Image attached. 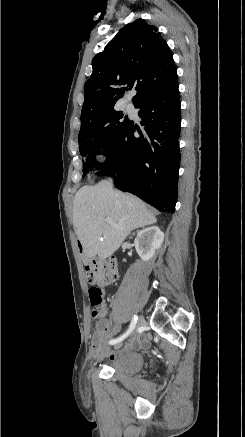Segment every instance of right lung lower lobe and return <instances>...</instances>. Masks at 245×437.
Wrapping results in <instances>:
<instances>
[{
    "label": "right lung lower lobe",
    "mask_w": 245,
    "mask_h": 437,
    "mask_svg": "<svg viewBox=\"0 0 245 437\" xmlns=\"http://www.w3.org/2000/svg\"><path fill=\"white\" fill-rule=\"evenodd\" d=\"M144 132L125 128L98 175L115 176V186L135 194L161 212L174 213L181 155L178 138L181 108L178 85L135 103Z\"/></svg>",
    "instance_id": "98d812e1"
}]
</instances>
